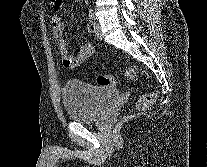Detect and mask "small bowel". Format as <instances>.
<instances>
[{
  "instance_id": "obj_1",
  "label": "small bowel",
  "mask_w": 207,
  "mask_h": 167,
  "mask_svg": "<svg viewBox=\"0 0 207 167\" xmlns=\"http://www.w3.org/2000/svg\"><path fill=\"white\" fill-rule=\"evenodd\" d=\"M63 0H52L51 5L54 14L51 18V27L54 37L57 40L62 64L65 68L74 71L79 70L86 64L93 54V46L89 43L81 45L75 53H70L66 41L63 38L64 25L60 16V9Z\"/></svg>"
}]
</instances>
